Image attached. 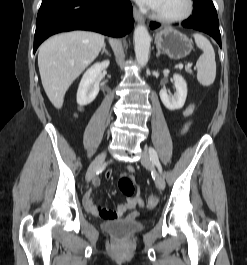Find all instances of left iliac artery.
Instances as JSON below:
<instances>
[{"mask_svg": "<svg viewBox=\"0 0 247 265\" xmlns=\"http://www.w3.org/2000/svg\"><path fill=\"white\" fill-rule=\"evenodd\" d=\"M149 154H150V160L152 161V163L155 164L159 172L162 173V167L158 159L157 153L152 147L149 148Z\"/></svg>", "mask_w": 247, "mask_h": 265, "instance_id": "left-iliac-artery-1", "label": "left iliac artery"}]
</instances>
